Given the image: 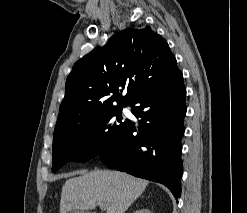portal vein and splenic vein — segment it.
Listing matches in <instances>:
<instances>
[{
	"mask_svg": "<svg viewBox=\"0 0 247 213\" xmlns=\"http://www.w3.org/2000/svg\"><path fill=\"white\" fill-rule=\"evenodd\" d=\"M100 204V207L103 208L104 207V203H99Z\"/></svg>",
	"mask_w": 247,
	"mask_h": 213,
	"instance_id": "obj_1",
	"label": "portal vein and splenic vein"
}]
</instances>
